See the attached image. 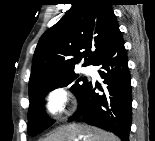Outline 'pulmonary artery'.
Here are the masks:
<instances>
[{"instance_id":"e3ab8cb5","label":"pulmonary artery","mask_w":155,"mask_h":141,"mask_svg":"<svg viewBox=\"0 0 155 141\" xmlns=\"http://www.w3.org/2000/svg\"><path fill=\"white\" fill-rule=\"evenodd\" d=\"M82 71H83L85 74H90V73H92V70H91L89 67L83 68Z\"/></svg>"}]
</instances>
